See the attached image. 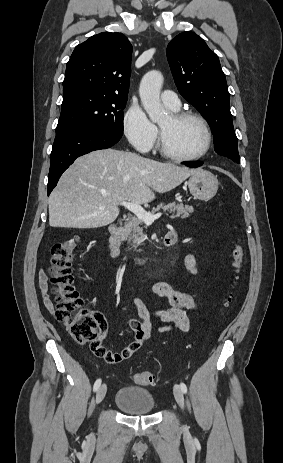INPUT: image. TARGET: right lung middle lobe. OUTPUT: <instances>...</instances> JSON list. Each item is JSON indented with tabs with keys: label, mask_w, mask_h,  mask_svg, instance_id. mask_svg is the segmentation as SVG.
Masks as SVG:
<instances>
[{
	"label": "right lung middle lobe",
	"mask_w": 283,
	"mask_h": 463,
	"mask_svg": "<svg viewBox=\"0 0 283 463\" xmlns=\"http://www.w3.org/2000/svg\"><path fill=\"white\" fill-rule=\"evenodd\" d=\"M127 97L77 94L62 103L56 135L80 128H101L123 134Z\"/></svg>",
	"instance_id": "dd1d6c3e"
}]
</instances>
